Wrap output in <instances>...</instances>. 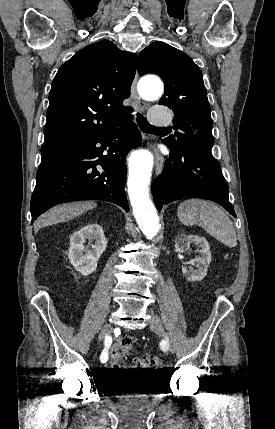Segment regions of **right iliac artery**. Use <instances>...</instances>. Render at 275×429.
<instances>
[{
	"mask_svg": "<svg viewBox=\"0 0 275 429\" xmlns=\"http://www.w3.org/2000/svg\"><path fill=\"white\" fill-rule=\"evenodd\" d=\"M111 343H112V338L107 335L104 341V349L100 356V360L102 363H105L108 360V348L110 347Z\"/></svg>",
	"mask_w": 275,
	"mask_h": 429,
	"instance_id": "1",
	"label": "right iliac artery"
}]
</instances>
